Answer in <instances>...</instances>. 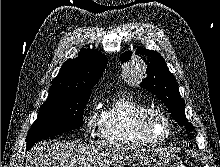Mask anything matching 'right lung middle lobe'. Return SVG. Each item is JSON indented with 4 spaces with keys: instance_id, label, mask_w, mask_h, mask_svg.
I'll list each match as a JSON object with an SVG mask.
<instances>
[{
    "instance_id": "obj_1",
    "label": "right lung middle lobe",
    "mask_w": 220,
    "mask_h": 167,
    "mask_svg": "<svg viewBox=\"0 0 220 167\" xmlns=\"http://www.w3.org/2000/svg\"><path fill=\"white\" fill-rule=\"evenodd\" d=\"M91 92L73 93L47 99L27 135V149L36 141L82 126V118Z\"/></svg>"
}]
</instances>
